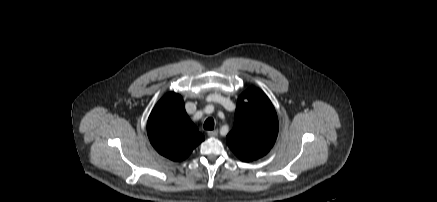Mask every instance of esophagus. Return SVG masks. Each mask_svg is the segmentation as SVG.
I'll use <instances>...</instances> for the list:
<instances>
[{
  "mask_svg": "<svg viewBox=\"0 0 437 202\" xmlns=\"http://www.w3.org/2000/svg\"><path fill=\"white\" fill-rule=\"evenodd\" d=\"M207 134L210 137H216L218 135V130L208 131Z\"/></svg>",
  "mask_w": 437,
  "mask_h": 202,
  "instance_id": "1",
  "label": "esophagus"
}]
</instances>
